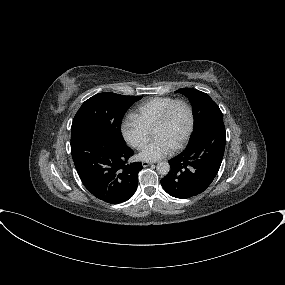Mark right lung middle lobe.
I'll list each match as a JSON object with an SVG mask.
<instances>
[{"label":"right lung middle lobe","instance_id":"obj_1","mask_svg":"<svg viewBox=\"0 0 285 285\" xmlns=\"http://www.w3.org/2000/svg\"><path fill=\"white\" fill-rule=\"evenodd\" d=\"M141 96H124L111 92L96 94L86 100L76 113L71 132L87 130L126 145L121 134V122L129 107Z\"/></svg>","mask_w":285,"mask_h":285}]
</instances>
